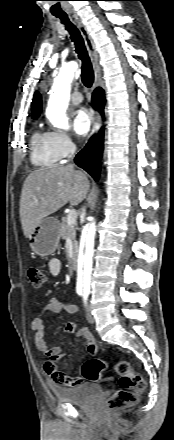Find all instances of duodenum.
<instances>
[{
  "label": "duodenum",
  "mask_w": 174,
  "mask_h": 440,
  "mask_svg": "<svg viewBox=\"0 0 174 440\" xmlns=\"http://www.w3.org/2000/svg\"><path fill=\"white\" fill-rule=\"evenodd\" d=\"M70 265H71V268L74 269V270H76L78 268V266H79L78 255H77L76 252H74L72 254V256H71Z\"/></svg>",
  "instance_id": "410a0bca"
}]
</instances>
